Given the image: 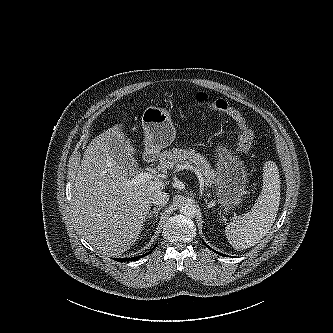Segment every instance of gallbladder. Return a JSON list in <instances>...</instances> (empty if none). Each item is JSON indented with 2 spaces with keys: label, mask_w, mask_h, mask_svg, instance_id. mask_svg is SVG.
I'll return each instance as SVG.
<instances>
[{
  "label": "gallbladder",
  "mask_w": 333,
  "mask_h": 333,
  "mask_svg": "<svg viewBox=\"0 0 333 333\" xmlns=\"http://www.w3.org/2000/svg\"><path fill=\"white\" fill-rule=\"evenodd\" d=\"M110 145L111 152L119 165L130 171H135L137 169L136 160L132 156H129L124 152L123 145L119 140H117L116 137H113Z\"/></svg>",
  "instance_id": "bac80fb5"
}]
</instances>
